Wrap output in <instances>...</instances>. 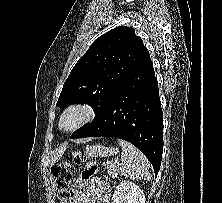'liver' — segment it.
Listing matches in <instances>:
<instances>
[{"label":"liver","mask_w":222,"mask_h":203,"mask_svg":"<svg viewBox=\"0 0 222 203\" xmlns=\"http://www.w3.org/2000/svg\"><path fill=\"white\" fill-rule=\"evenodd\" d=\"M65 149H66V144H64L55 151L54 156L52 158L51 166H53L62 157V155L65 152Z\"/></svg>","instance_id":"liver-1"}]
</instances>
